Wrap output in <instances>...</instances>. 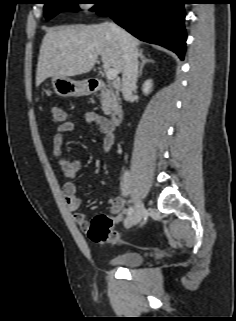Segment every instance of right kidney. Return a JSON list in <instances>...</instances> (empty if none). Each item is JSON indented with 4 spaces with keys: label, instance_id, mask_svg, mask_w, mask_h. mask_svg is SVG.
Segmentation results:
<instances>
[{
    "label": "right kidney",
    "instance_id": "1",
    "mask_svg": "<svg viewBox=\"0 0 236 321\" xmlns=\"http://www.w3.org/2000/svg\"><path fill=\"white\" fill-rule=\"evenodd\" d=\"M152 80L148 79L143 83L142 91L145 95H148L152 91Z\"/></svg>",
    "mask_w": 236,
    "mask_h": 321
}]
</instances>
